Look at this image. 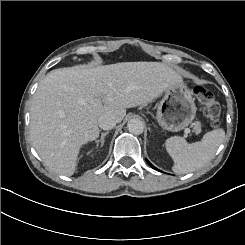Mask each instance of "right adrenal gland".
<instances>
[{
  "label": "right adrenal gland",
  "instance_id": "1",
  "mask_svg": "<svg viewBox=\"0 0 245 245\" xmlns=\"http://www.w3.org/2000/svg\"><path fill=\"white\" fill-rule=\"evenodd\" d=\"M108 134H109V131H107V132L101 134V138H100L99 140H96V141H95L96 147L99 146V142H101L100 147H103L104 142H105L104 138H105V136L108 135Z\"/></svg>",
  "mask_w": 245,
  "mask_h": 245
}]
</instances>
